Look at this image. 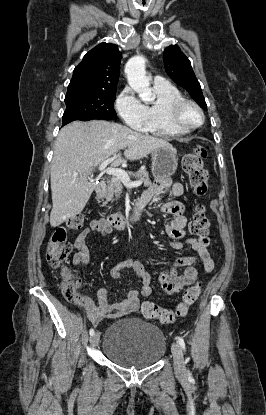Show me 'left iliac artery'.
Masks as SVG:
<instances>
[{
  "label": "left iliac artery",
  "instance_id": "1",
  "mask_svg": "<svg viewBox=\"0 0 266 415\" xmlns=\"http://www.w3.org/2000/svg\"><path fill=\"white\" fill-rule=\"evenodd\" d=\"M179 345L181 346V348L185 351L186 346H185V342L181 337L177 338Z\"/></svg>",
  "mask_w": 266,
  "mask_h": 415
}]
</instances>
